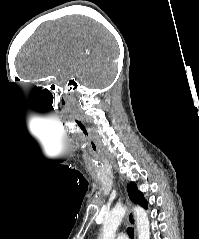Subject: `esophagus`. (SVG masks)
Instances as JSON below:
<instances>
[{
    "mask_svg": "<svg viewBox=\"0 0 199 239\" xmlns=\"http://www.w3.org/2000/svg\"><path fill=\"white\" fill-rule=\"evenodd\" d=\"M128 205H130L129 202H128ZM127 219H128V221H129V223L134 227L135 236H136V219H135L134 212L132 211L131 208H129V210H128V212H127Z\"/></svg>",
    "mask_w": 199,
    "mask_h": 239,
    "instance_id": "34e87169",
    "label": "esophagus"
}]
</instances>
